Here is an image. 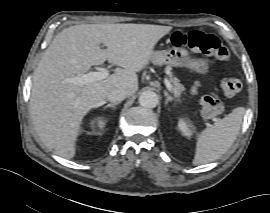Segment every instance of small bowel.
<instances>
[{
    "mask_svg": "<svg viewBox=\"0 0 270 213\" xmlns=\"http://www.w3.org/2000/svg\"><path fill=\"white\" fill-rule=\"evenodd\" d=\"M196 91V86L192 87V92Z\"/></svg>",
    "mask_w": 270,
    "mask_h": 213,
    "instance_id": "obj_1",
    "label": "small bowel"
}]
</instances>
